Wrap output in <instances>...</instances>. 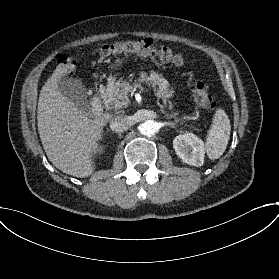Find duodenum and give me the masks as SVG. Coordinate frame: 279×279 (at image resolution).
Segmentation results:
<instances>
[{
    "label": "duodenum",
    "instance_id": "410a0bca",
    "mask_svg": "<svg viewBox=\"0 0 279 279\" xmlns=\"http://www.w3.org/2000/svg\"><path fill=\"white\" fill-rule=\"evenodd\" d=\"M102 103L98 97H93L90 103V111L93 115L99 116L102 113Z\"/></svg>",
    "mask_w": 279,
    "mask_h": 279
}]
</instances>
